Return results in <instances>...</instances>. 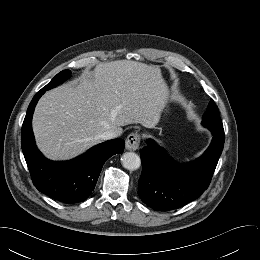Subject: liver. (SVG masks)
Returning a JSON list of instances; mask_svg holds the SVG:
<instances>
[{"instance_id": "6515ba94", "label": "liver", "mask_w": 260, "mask_h": 260, "mask_svg": "<svg viewBox=\"0 0 260 260\" xmlns=\"http://www.w3.org/2000/svg\"><path fill=\"white\" fill-rule=\"evenodd\" d=\"M158 66L117 60L101 63L78 82L47 91L33 116V132L42 153L53 160L77 157L100 142L107 130L122 126L153 128L168 98Z\"/></svg>"}]
</instances>
